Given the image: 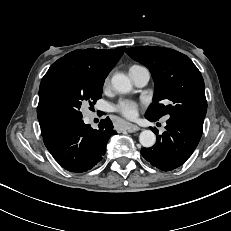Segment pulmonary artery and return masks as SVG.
I'll return each instance as SVG.
<instances>
[{"label": "pulmonary artery", "instance_id": "obj_1", "mask_svg": "<svg viewBox=\"0 0 231 231\" xmlns=\"http://www.w3.org/2000/svg\"><path fill=\"white\" fill-rule=\"evenodd\" d=\"M129 75L137 87H144L150 79L149 70L143 66H132L129 69ZM166 119H168V116Z\"/></svg>", "mask_w": 231, "mask_h": 231}]
</instances>
